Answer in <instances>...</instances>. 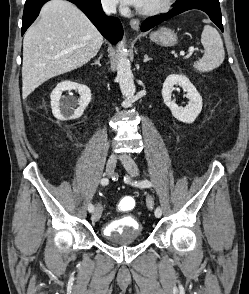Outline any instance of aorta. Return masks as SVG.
Instances as JSON below:
<instances>
[{
	"label": "aorta",
	"mask_w": 249,
	"mask_h": 294,
	"mask_svg": "<svg viewBox=\"0 0 249 294\" xmlns=\"http://www.w3.org/2000/svg\"><path fill=\"white\" fill-rule=\"evenodd\" d=\"M117 52V80L119 82L123 96L129 99L135 95V85L133 81L131 64L127 58V49L125 48V43L123 40L118 43Z\"/></svg>",
	"instance_id": "obj_1"
}]
</instances>
